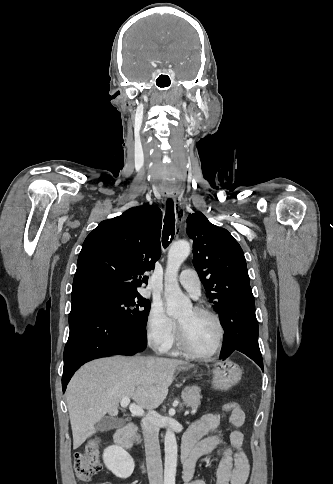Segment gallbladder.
Returning <instances> with one entry per match:
<instances>
[{
  "label": "gallbladder",
  "mask_w": 333,
  "mask_h": 484,
  "mask_svg": "<svg viewBox=\"0 0 333 484\" xmlns=\"http://www.w3.org/2000/svg\"><path fill=\"white\" fill-rule=\"evenodd\" d=\"M124 422L125 421L122 418L107 416L97 422L96 430L100 432L110 431L112 429L122 427L124 425Z\"/></svg>",
  "instance_id": "bac80fb5"
}]
</instances>
